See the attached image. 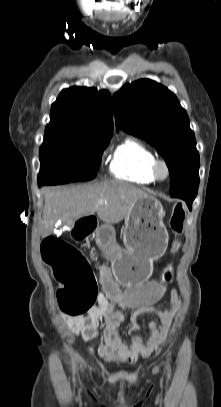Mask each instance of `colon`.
<instances>
[{
	"label": "colon",
	"instance_id": "5ec220e1",
	"mask_svg": "<svg viewBox=\"0 0 221 407\" xmlns=\"http://www.w3.org/2000/svg\"><path fill=\"white\" fill-rule=\"evenodd\" d=\"M186 210L176 203L170 217V227L177 237L172 253L180 247L179 237L184 230ZM96 216H77L72 228L73 239H94L97 229ZM43 261L48 264L58 280L57 301L60 309L68 316H81L89 311L97 298L98 285L91 266L84 256L69 243L54 237L46 238L41 245ZM158 279L151 277L149 283H129L119 291H111V300H120L127 311H150L164 299V292L174 283V272L163 271Z\"/></svg>",
	"mask_w": 221,
	"mask_h": 407
}]
</instances>
